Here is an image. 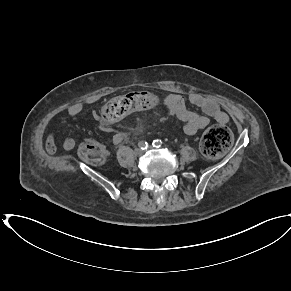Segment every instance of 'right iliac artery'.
<instances>
[{
	"label": "right iliac artery",
	"instance_id": "right-iliac-artery-1",
	"mask_svg": "<svg viewBox=\"0 0 291 291\" xmlns=\"http://www.w3.org/2000/svg\"><path fill=\"white\" fill-rule=\"evenodd\" d=\"M138 146H139L140 149L145 150V149L148 148V143L146 141H140L138 143Z\"/></svg>",
	"mask_w": 291,
	"mask_h": 291
}]
</instances>
